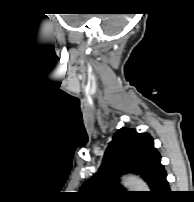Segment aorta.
Wrapping results in <instances>:
<instances>
[{
    "label": "aorta",
    "instance_id": "obj_1",
    "mask_svg": "<svg viewBox=\"0 0 194 202\" xmlns=\"http://www.w3.org/2000/svg\"><path fill=\"white\" fill-rule=\"evenodd\" d=\"M123 183L132 190H136V191H147L148 190L147 185L142 180H140L136 177H131V176L125 177L123 179Z\"/></svg>",
    "mask_w": 194,
    "mask_h": 202
}]
</instances>
